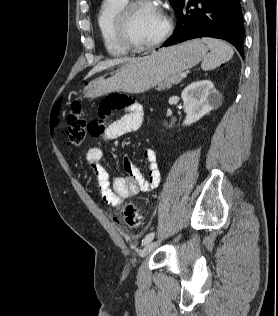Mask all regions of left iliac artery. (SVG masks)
<instances>
[{"label":"left iliac artery","instance_id":"obj_1","mask_svg":"<svg viewBox=\"0 0 278 316\" xmlns=\"http://www.w3.org/2000/svg\"><path fill=\"white\" fill-rule=\"evenodd\" d=\"M154 235H155L154 232H151V233L147 234V235L144 237V239L142 240V244H143V245H146V244H148L149 242H151V241L153 240V238H154Z\"/></svg>","mask_w":278,"mask_h":316}]
</instances>
